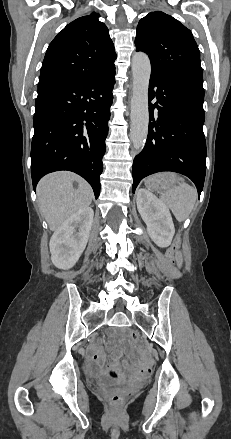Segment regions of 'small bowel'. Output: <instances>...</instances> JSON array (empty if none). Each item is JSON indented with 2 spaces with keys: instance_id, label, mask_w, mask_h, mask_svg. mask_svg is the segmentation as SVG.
<instances>
[{
  "instance_id": "c3829d8e",
  "label": "small bowel",
  "mask_w": 231,
  "mask_h": 439,
  "mask_svg": "<svg viewBox=\"0 0 231 439\" xmlns=\"http://www.w3.org/2000/svg\"><path fill=\"white\" fill-rule=\"evenodd\" d=\"M92 358L95 361H97L99 363V365L102 367L104 364V358H105L104 348L103 347L98 348L96 350V352L93 353ZM119 358H120L119 353H115L112 367H110L107 370L100 369V374L101 375H103V374H109V375L117 374V372H118L117 366L119 364ZM138 369L140 372L147 373L149 371V366L146 363H144V364L139 365Z\"/></svg>"
}]
</instances>
